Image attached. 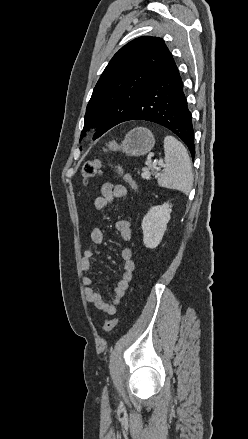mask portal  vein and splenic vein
<instances>
[{
	"instance_id": "portal-vein-and-splenic-vein-1",
	"label": "portal vein and splenic vein",
	"mask_w": 248,
	"mask_h": 439,
	"mask_svg": "<svg viewBox=\"0 0 248 439\" xmlns=\"http://www.w3.org/2000/svg\"><path fill=\"white\" fill-rule=\"evenodd\" d=\"M156 169V171H160L161 167H155L154 165H152L151 163L148 164V169H146L143 174L142 177L145 179H149L150 178V173L148 170H153Z\"/></svg>"
}]
</instances>
